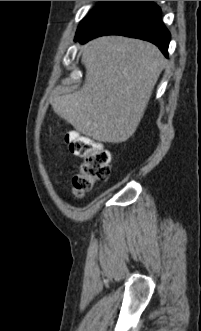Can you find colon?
<instances>
[{"label": "colon", "mask_w": 201, "mask_h": 331, "mask_svg": "<svg viewBox=\"0 0 201 331\" xmlns=\"http://www.w3.org/2000/svg\"><path fill=\"white\" fill-rule=\"evenodd\" d=\"M66 144L79 163L72 174L74 193L84 196L110 174V153L98 142L76 132H69L65 137Z\"/></svg>", "instance_id": "5ec220e1"}]
</instances>
